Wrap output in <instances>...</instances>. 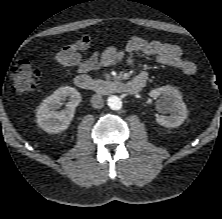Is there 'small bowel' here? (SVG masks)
Listing matches in <instances>:
<instances>
[{
  "label": "small bowel",
  "mask_w": 222,
  "mask_h": 219,
  "mask_svg": "<svg viewBox=\"0 0 222 219\" xmlns=\"http://www.w3.org/2000/svg\"><path fill=\"white\" fill-rule=\"evenodd\" d=\"M92 37L88 34L81 36L75 42L65 46L53 55L54 63L63 71H74L85 74L101 67H109L120 61L129 65H136L137 56L153 58L157 63L180 70L186 75L196 73L195 63L186 58L181 49L171 43L161 40H148L139 36L129 39L125 50L109 46L101 52L93 53L89 58H84L82 52L89 49ZM132 82L144 85L146 77L138 74Z\"/></svg>",
  "instance_id": "c3829d8e"
}]
</instances>
